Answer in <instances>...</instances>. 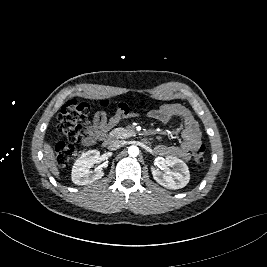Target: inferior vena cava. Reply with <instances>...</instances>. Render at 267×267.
<instances>
[{"instance_id":"1","label":"inferior vena cava","mask_w":267,"mask_h":267,"mask_svg":"<svg viewBox=\"0 0 267 267\" xmlns=\"http://www.w3.org/2000/svg\"><path fill=\"white\" fill-rule=\"evenodd\" d=\"M123 142L120 140H112L110 141L109 145H108V149L109 150H117L120 147H122Z\"/></svg>"}]
</instances>
